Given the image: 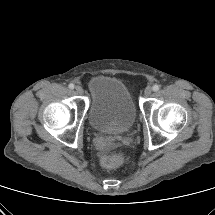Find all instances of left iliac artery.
Wrapping results in <instances>:
<instances>
[{"instance_id": "left-iliac-artery-1", "label": "left iliac artery", "mask_w": 215, "mask_h": 215, "mask_svg": "<svg viewBox=\"0 0 215 215\" xmlns=\"http://www.w3.org/2000/svg\"><path fill=\"white\" fill-rule=\"evenodd\" d=\"M159 89H160V86H159V85L155 84V85L153 86V91H158Z\"/></svg>"}]
</instances>
